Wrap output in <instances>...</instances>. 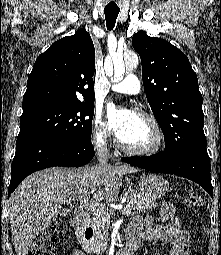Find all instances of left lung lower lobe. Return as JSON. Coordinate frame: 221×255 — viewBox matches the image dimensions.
Masks as SVG:
<instances>
[{
    "mask_svg": "<svg viewBox=\"0 0 221 255\" xmlns=\"http://www.w3.org/2000/svg\"><path fill=\"white\" fill-rule=\"evenodd\" d=\"M121 160L150 171L175 174L193 180L213 197L206 146L189 147L175 157H169L163 152L147 157H125Z\"/></svg>",
    "mask_w": 221,
    "mask_h": 255,
    "instance_id": "0a47b994",
    "label": "left lung lower lobe"
}]
</instances>
